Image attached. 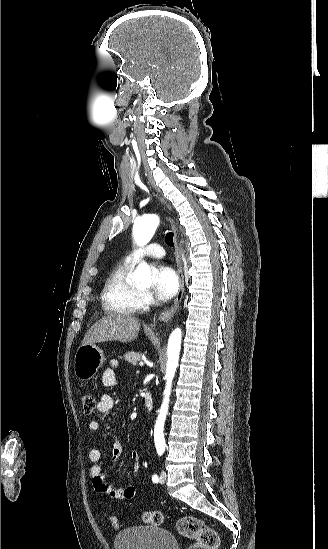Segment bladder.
I'll list each match as a JSON object with an SVG mask.
<instances>
[{
  "mask_svg": "<svg viewBox=\"0 0 328 549\" xmlns=\"http://www.w3.org/2000/svg\"><path fill=\"white\" fill-rule=\"evenodd\" d=\"M132 536L127 531L114 539L116 549H176L175 538L169 531L156 527H133Z\"/></svg>",
  "mask_w": 328,
  "mask_h": 549,
  "instance_id": "obj_1",
  "label": "bladder"
}]
</instances>
